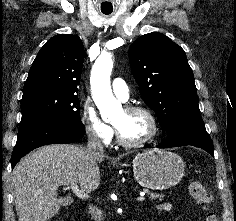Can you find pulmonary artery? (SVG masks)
Returning a JSON list of instances; mask_svg holds the SVG:
<instances>
[{
	"label": "pulmonary artery",
	"instance_id": "obj_1",
	"mask_svg": "<svg viewBox=\"0 0 236 221\" xmlns=\"http://www.w3.org/2000/svg\"><path fill=\"white\" fill-rule=\"evenodd\" d=\"M112 90L118 98L122 100L128 99L129 86L122 78H115L112 81Z\"/></svg>",
	"mask_w": 236,
	"mask_h": 221
}]
</instances>
